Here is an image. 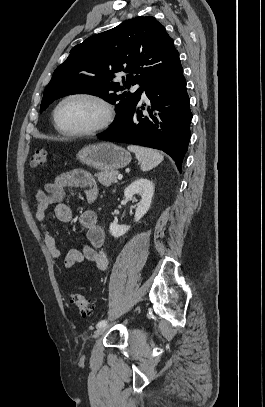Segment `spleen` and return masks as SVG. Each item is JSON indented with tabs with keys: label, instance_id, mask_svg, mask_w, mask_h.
<instances>
[{
	"label": "spleen",
	"instance_id": "1",
	"mask_svg": "<svg viewBox=\"0 0 265 407\" xmlns=\"http://www.w3.org/2000/svg\"><path fill=\"white\" fill-rule=\"evenodd\" d=\"M128 150L135 153L136 158L140 163V167L142 171H149L159 165L164 157L161 153L156 150L136 146V145H129Z\"/></svg>",
	"mask_w": 265,
	"mask_h": 407
}]
</instances>
